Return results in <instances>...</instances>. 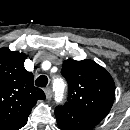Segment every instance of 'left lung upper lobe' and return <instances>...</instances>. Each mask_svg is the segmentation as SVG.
Segmentation results:
<instances>
[{"mask_svg":"<svg viewBox=\"0 0 130 130\" xmlns=\"http://www.w3.org/2000/svg\"><path fill=\"white\" fill-rule=\"evenodd\" d=\"M61 73L69 86L64 107L103 120L115 97V84L108 71L89 59H68L63 62Z\"/></svg>","mask_w":130,"mask_h":130,"instance_id":"5c2ea615","label":"left lung upper lobe"}]
</instances>
